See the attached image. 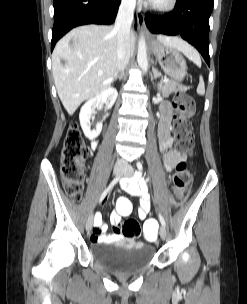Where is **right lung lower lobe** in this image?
<instances>
[{
  "label": "right lung lower lobe",
  "mask_w": 247,
  "mask_h": 304,
  "mask_svg": "<svg viewBox=\"0 0 247 304\" xmlns=\"http://www.w3.org/2000/svg\"><path fill=\"white\" fill-rule=\"evenodd\" d=\"M121 0H54L51 51L69 30L84 24H112Z\"/></svg>",
  "instance_id": "obj_1"
}]
</instances>
